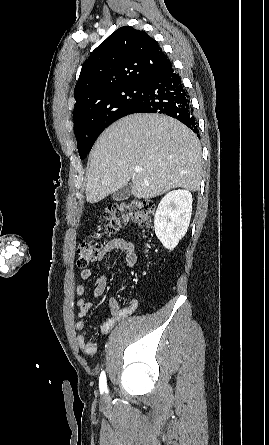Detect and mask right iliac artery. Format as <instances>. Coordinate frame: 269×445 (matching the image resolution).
<instances>
[{
	"mask_svg": "<svg viewBox=\"0 0 269 445\" xmlns=\"http://www.w3.org/2000/svg\"><path fill=\"white\" fill-rule=\"evenodd\" d=\"M99 387L101 392L107 391V382H106V375L105 372L102 371L100 378H99Z\"/></svg>",
	"mask_w": 269,
	"mask_h": 445,
	"instance_id": "1",
	"label": "right iliac artery"
}]
</instances>
